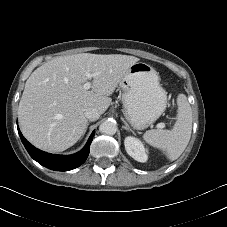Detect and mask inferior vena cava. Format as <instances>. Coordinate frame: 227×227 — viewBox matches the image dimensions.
Wrapping results in <instances>:
<instances>
[{
  "instance_id": "1",
  "label": "inferior vena cava",
  "mask_w": 227,
  "mask_h": 227,
  "mask_svg": "<svg viewBox=\"0 0 227 227\" xmlns=\"http://www.w3.org/2000/svg\"><path fill=\"white\" fill-rule=\"evenodd\" d=\"M85 117L90 121H96L100 117V113L96 108H88L85 111Z\"/></svg>"
}]
</instances>
